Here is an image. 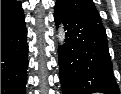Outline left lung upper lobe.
<instances>
[{"mask_svg": "<svg viewBox=\"0 0 121 94\" xmlns=\"http://www.w3.org/2000/svg\"><path fill=\"white\" fill-rule=\"evenodd\" d=\"M56 2L75 16L101 23L100 16L92 0H57Z\"/></svg>", "mask_w": 121, "mask_h": 94, "instance_id": "5c2ea615", "label": "left lung upper lobe"}]
</instances>
